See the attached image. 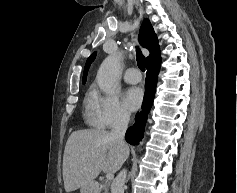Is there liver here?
<instances>
[{
  "instance_id": "1",
  "label": "liver",
  "mask_w": 237,
  "mask_h": 193,
  "mask_svg": "<svg viewBox=\"0 0 237 193\" xmlns=\"http://www.w3.org/2000/svg\"><path fill=\"white\" fill-rule=\"evenodd\" d=\"M128 155L129 148H123L108 131L86 129L72 132L63 156L65 191H75L93 182L101 171L117 172Z\"/></svg>"
}]
</instances>
